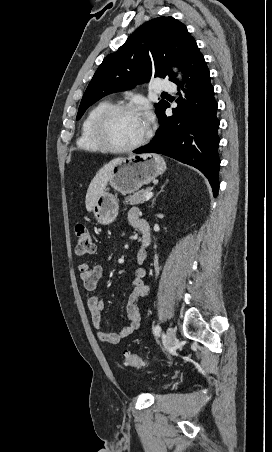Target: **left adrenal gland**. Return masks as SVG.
Here are the masks:
<instances>
[{
	"label": "left adrenal gland",
	"mask_w": 272,
	"mask_h": 452,
	"mask_svg": "<svg viewBox=\"0 0 272 452\" xmlns=\"http://www.w3.org/2000/svg\"><path fill=\"white\" fill-rule=\"evenodd\" d=\"M167 182H168V180H166V182H165V183L163 184V186L161 187V190H160V191L156 194V196L153 198V200H152V208L154 207L156 198H157L158 195L163 191V189H164L165 185L167 184Z\"/></svg>",
	"instance_id": "left-adrenal-gland-1"
}]
</instances>
